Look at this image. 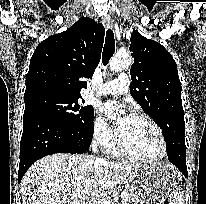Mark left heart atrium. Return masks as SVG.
<instances>
[{
	"mask_svg": "<svg viewBox=\"0 0 206 204\" xmlns=\"http://www.w3.org/2000/svg\"><path fill=\"white\" fill-rule=\"evenodd\" d=\"M120 106H121V105H120L119 103L115 102V101H109V102H107V103H105V104L103 105L102 109H103V111L105 112V114L110 117V116H112V115L115 113V111H116ZM130 116H131V115H127L126 118H127V117H130ZM120 130H121V128H120Z\"/></svg>",
	"mask_w": 206,
	"mask_h": 204,
	"instance_id": "39dd6f15",
	"label": "left heart atrium"
}]
</instances>
